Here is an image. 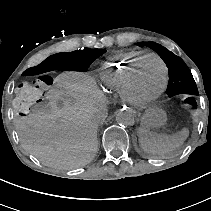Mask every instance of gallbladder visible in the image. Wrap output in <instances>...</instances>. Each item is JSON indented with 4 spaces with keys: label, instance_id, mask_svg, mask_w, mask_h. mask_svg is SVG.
I'll list each match as a JSON object with an SVG mask.
<instances>
[{
    "label": "gallbladder",
    "instance_id": "bac80fb5",
    "mask_svg": "<svg viewBox=\"0 0 211 211\" xmlns=\"http://www.w3.org/2000/svg\"><path fill=\"white\" fill-rule=\"evenodd\" d=\"M58 107H60V108H62V107H63L62 102H58Z\"/></svg>",
    "mask_w": 211,
    "mask_h": 211
}]
</instances>
